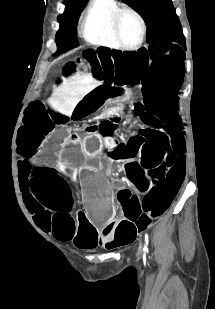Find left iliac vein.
<instances>
[{
	"label": "left iliac vein",
	"mask_w": 215,
	"mask_h": 309,
	"mask_svg": "<svg viewBox=\"0 0 215 309\" xmlns=\"http://www.w3.org/2000/svg\"><path fill=\"white\" fill-rule=\"evenodd\" d=\"M138 254H139V255H142V254H143V243H142L141 240H140V242H139Z\"/></svg>",
	"instance_id": "obj_1"
}]
</instances>
